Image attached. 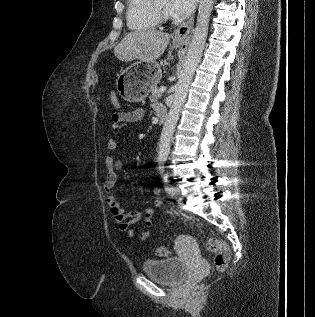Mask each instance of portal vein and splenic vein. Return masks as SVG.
I'll return each mask as SVG.
<instances>
[{
    "mask_svg": "<svg viewBox=\"0 0 315 317\" xmlns=\"http://www.w3.org/2000/svg\"><path fill=\"white\" fill-rule=\"evenodd\" d=\"M165 90H166V88H165V87H161L159 91H160L161 93H164V92H165Z\"/></svg>",
    "mask_w": 315,
    "mask_h": 317,
    "instance_id": "obj_1",
    "label": "portal vein and splenic vein"
}]
</instances>
